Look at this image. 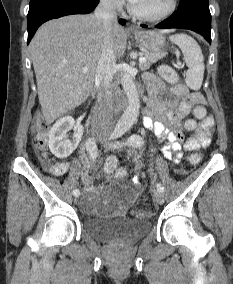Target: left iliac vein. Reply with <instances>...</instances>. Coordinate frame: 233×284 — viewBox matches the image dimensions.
<instances>
[{
    "instance_id": "1",
    "label": "left iliac vein",
    "mask_w": 233,
    "mask_h": 284,
    "mask_svg": "<svg viewBox=\"0 0 233 284\" xmlns=\"http://www.w3.org/2000/svg\"><path fill=\"white\" fill-rule=\"evenodd\" d=\"M102 144H103L105 147L109 148V149H112V148L114 147L113 144H112V142H111L109 139H107V138H105V139L102 141ZM153 197H154V200H155L158 204H163V202H164V195H163L161 192L155 191L154 194H153Z\"/></svg>"
}]
</instances>
